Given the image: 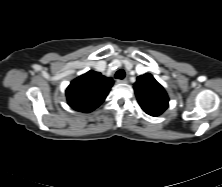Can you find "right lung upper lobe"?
<instances>
[{"label": "right lung upper lobe", "mask_w": 222, "mask_h": 187, "mask_svg": "<svg viewBox=\"0 0 222 187\" xmlns=\"http://www.w3.org/2000/svg\"><path fill=\"white\" fill-rule=\"evenodd\" d=\"M112 85V78L90 70L74 79L67 87L68 104L76 111L91 112L105 100Z\"/></svg>", "instance_id": "obj_1"}]
</instances>
